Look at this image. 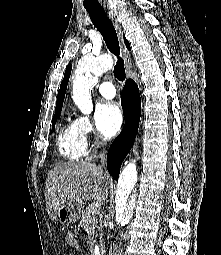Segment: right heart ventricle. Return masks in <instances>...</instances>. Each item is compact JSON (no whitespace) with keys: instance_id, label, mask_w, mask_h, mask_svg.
Listing matches in <instances>:
<instances>
[{"instance_id":"obj_1","label":"right heart ventricle","mask_w":221,"mask_h":255,"mask_svg":"<svg viewBox=\"0 0 221 255\" xmlns=\"http://www.w3.org/2000/svg\"><path fill=\"white\" fill-rule=\"evenodd\" d=\"M59 154L68 160L82 159L87 151V142L81 134L77 120L66 122L58 132Z\"/></svg>"}]
</instances>
